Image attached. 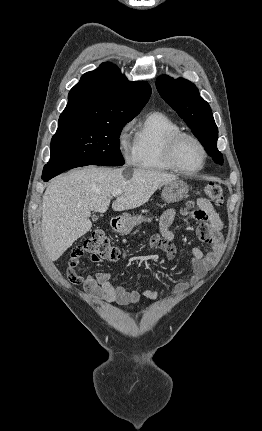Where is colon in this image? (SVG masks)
<instances>
[{"instance_id":"5ec220e1","label":"colon","mask_w":262,"mask_h":431,"mask_svg":"<svg viewBox=\"0 0 262 431\" xmlns=\"http://www.w3.org/2000/svg\"><path fill=\"white\" fill-rule=\"evenodd\" d=\"M206 197L214 204L221 205L223 202V191L219 184L209 183L205 186ZM187 210L184 209L183 213ZM153 248L161 247L166 244V240L161 235H153L150 239ZM88 254L93 261H114L117 260L121 251L113 245L101 231H93L78 246L77 253L68 261L66 275L70 279L78 277L75 267L79 264L80 258Z\"/></svg>"}]
</instances>
